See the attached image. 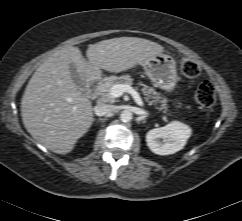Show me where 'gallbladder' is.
Returning <instances> with one entry per match:
<instances>
[{"instance_id": "1", "label": "gallbladder", "mask_w": 242, "mask_h": 221, "mask_svg": "<svg viewBox=\"0 0 242 221\" xmlns=\"http://www.w3.org/2000/svg\"><path fill=\"white\" fill-rule=\"evenodd\" d=\"M70 74H71V77H72L74 83L78 87L79 91L82 94H85V92H86V84L81 79V77H80L79 73L77 72L76 67H75V65L73 63L70 64Z\"/></svg>"}]
</instances>
